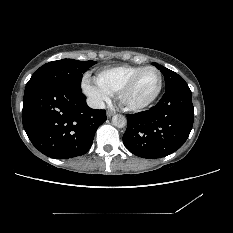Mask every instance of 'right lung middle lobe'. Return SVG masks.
Masks as SVG:
<instances>
[{"label":"right lung middle lobe","mask_w":233,"mask_h":233,"mask_svg":"<svg viewBox=\"0 0 233 233\" xmlns=\"http://www.w3.org/2000/svg\"><path fill=\"white\" fill-rule=\"evenodd\" d=\"M95 61L62 59L44 64L34 72L28 81L25 92L43 85H60L73 90H81L82 74Z\"/></svg>","instance_id":"obj_1"}]
</instances>
